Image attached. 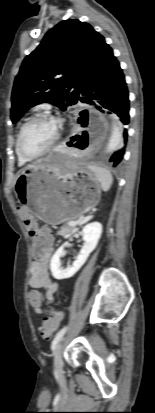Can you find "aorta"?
Here are the masks:
<instances>
[{"mask_svg":"<svg viewBox=\"0 0 155 413\" xmlns=\"http://www.w3.org/2000/svg\"><path fill=\"white\" fill-rule=\"evenodd\" d=\"M122 140L123 136L121 125L118 120L114 118V121L112 122L111 135L107 144V151L112 152L117 149L121 145Z\"/></svg>","mask_w":155,"mask_h":413,"instance_id":"762f6f07","label":"aorta"}]
</instances>
